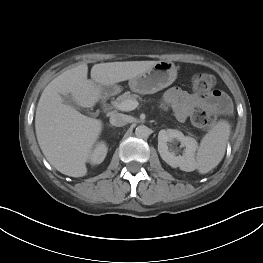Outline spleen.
Masks as SVG:
<instances>
[{
	"mask_svg": "<svg viewBox=\"0 0 263 263\" xmlns=\"http://www.w3.org/2000/svg\"><path fill=\"white\" fill-rule=\"evenodd\" d=\"M230 124L219 121L201 140L196 167L201 174L208 173L222 160L230 135Z\"/></svg>",
	"mask_w": 263,
	"mask_h": 263,
	"instance_id": "3e777b00",
	"label": "spleen"
}]
</instances>
